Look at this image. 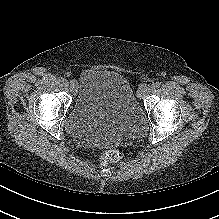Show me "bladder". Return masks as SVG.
Instances as JSON below:
<instances>
[{
    "label": "bladder",
    "mask_w": 219,
    "mask_h": 219,
    "mask_svg": "<svg viewBox=\"0 0 219 219\" xmlns=\"http://www.w3.org/2000/svg\"><path fill=\"white\" fill-rule=\"evenodd\" d=\"M75 92L65 117L71 136L110 145L145 132V111L123 75L85 70L76 80Z\"/></svg>",
    "instance_id": "obj_1"
}]
</instances>
